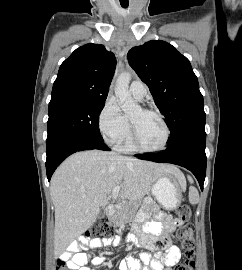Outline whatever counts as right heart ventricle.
I'll use <instances>...</instances> for the list:
<instances>
[{
	"instance_id": "obj_1",
	"label": "right heart ventricle",
	"mask_w": 242,
	"mask_h": 270,
	"mask_svg": "<svg viewBox=\"0 0 242 270\" xmlns=\"http://www.w3.org/2000/svg\"><path fill=\"white\" fill-rule=\"evenodd\" d=\"M127 122H128V129L121 140V142L118 144V149L122 152H131L135 151L132 142H131V130H130V122L128 117H126Z\"/></svg>"
}]
</instances>
